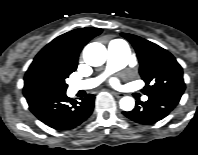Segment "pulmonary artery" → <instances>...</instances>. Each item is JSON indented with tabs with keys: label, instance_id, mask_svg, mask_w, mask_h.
<instances>
[{
	"label": "pulmonary artery",
	"instance_id": "pulmonary-artery-1",
	"mask_svg": "<svg viewBox=\"0 0 198 155\" xmlns=\"http://www.w3.org/2000/svg\"><path fill=\"white\" fill-rule=\"evenodd\" d=\"M130 58V51L128 46L123 40H112L108 45V62L107 71H115L126 66ZM102 77L92 78L81 81H73L69 84V90L71 93H76L79 90H86L97 86ZM144 101L147 97L142 98Z\"/></svg>",
	"mask_w": 198,
	"mask_h": 155
}]
</instances>
